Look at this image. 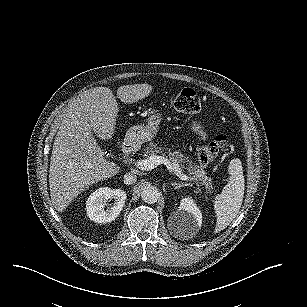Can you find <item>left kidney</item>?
Wrapping results in <instances>:
<instances>
[{
	"label": "left kidney",
	"instance_id": "obj_1",
	"mask_svg": "<svg viewBox=\"0 0 307 307\" xmlns=\"http://www.w3.org/2000/svg\"><path fill=\"white\" fill-rule=\"evenodd\" d=\"M173 215L179 219L174 226V232L179 237L191 238L202 226L203 213L199 204L192 196L183 197Z\"/></svg>",
	"mask_w": 307,
	"mask_h": 307
}]
</instances>
